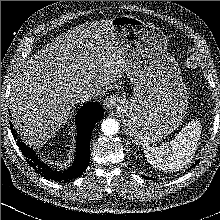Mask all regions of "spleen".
<instances>
[{
	"mask_svg": "<svg viewBox=\"0 0 220 220\" xmlns=\"http://www.w3.org/2000/svg\"><path fill=\"white\" fill-rule=\"evenodd\" d=\"M201 135V125L198 121L189 122L176 137L159 147L143 145L144 153L149 163L166 172L179 171L186 167L194 158Z\"/></svg>",
	"mask_w": 220,
	"mask_h": 220,
	"instance_id": "3e777b00",
	"label": "spleen"
}]
</instances>
